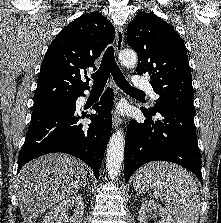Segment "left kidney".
Masks as SVG:
<instances>
[{"label": "left kidney", "instance_id": "5707ae66", "mask_svg": "<svg viewBox=\"0 0 221 223\" xmlns=\"http://www.w3.org/2000/svg\"><path fill=\"white\" fill-rule=\"evenodd\" d=\"M152 211L161 217L159 223H175L168 211L153 200H147L141 205L138 216L139 223H148L147 217Z\"/></svg>", "mask_w": 221, "mask_h": 223}]
</instances>
